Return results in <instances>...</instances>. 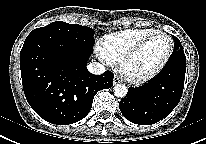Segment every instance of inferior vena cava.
Returning a JSON list of instances; mask_svg holds the SVG:
<instances>
[{"label":"inferior vena cava","mask_w":206,"mask_h":144,"mask_svg":"<svg viewBox=\"0 0 206 144\" xmlns=\"http://www.w3.org/2000/svg\"><path fill=\"white\" fill-rule=\"evenodd\" d=\"M87 69L90 73L95 74V75H101L103 74L106 70L105 67L98 63V62H92L87 66Z\"/></svg>","instance_id":"obj_1"}]
</instances>
